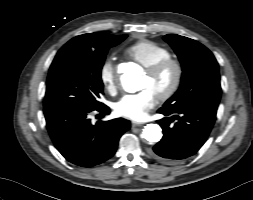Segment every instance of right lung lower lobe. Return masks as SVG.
Instances as JSON below:
<instances>
[{
	"instance_id": "98d812e1",
	"label": "right lung lower lobe",
	"mask_w": 253,
	"mask_h": 200,
	"mask_svg": "<svg viewBox=\"0 0 253 200\" xmlns=\"http://www.w3.org/2000/svg\"><path fill=\"white\" fill-rule=\"evenodd\" d=\"M92 111L102 116L110 113L105 104L96 108L60 106L44 109L47 129L55 147L66 160L81 167H92L111 158L121 135L130 128V123L122 118L98 121L93 125L89 119Z\"/></svg>"
}]
</instances>
